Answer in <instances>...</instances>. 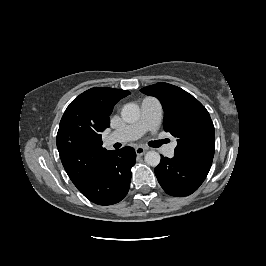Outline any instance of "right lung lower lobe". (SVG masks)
I'll list each match as a JSON object with an SVG mask.
<instances>
[{
  "mask_svg": "<svg viewBox=\"0 0 266 266\" xmlns=\"http://www.w3.org/2000/svg\"><path fill=\"white\" fill-rule=\"evenodd\" d=\"M135 162L136 153L131 147L111 151L92 183L81 193L99 205H112L121 201L128 193L131 168Z\"/></svg>",
  "mask_w": 266,
  "mask_h": 266,
  "instance_id": "right-lung-lower-lobe-1",
  "label": "right lung lower lobe"
}]
</instances>
